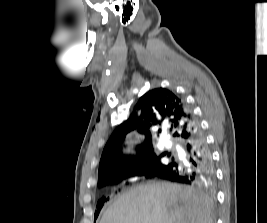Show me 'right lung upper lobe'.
<instances>
[{
	"mask_svg": "<svg viewBox=\"0 0 267 223\" xmlns=\"http://www.w3.org/2000/svg\"><path fill=\"white\" fill-rule=\"evenodd\" d=\"M136 108L140 114H133L119 125L108 140L100 160L99 178L116 167H123L130 172V166L136 159L154 153L151 137L156 128L158 133L161 128L169 131L182 142L195 135L197 122L190 110L181 97L168 89L157 88L148 91L139 99ZM135 130L145 134V141L136 148L137 158L131 159L125 157L119 148L126 135Z\"/></svg>",
	"mask_w": 267,
	"mask_h": 223,
	"instance_id": "1",
	"label": "right lung upper lobe"
}]
</instances>
